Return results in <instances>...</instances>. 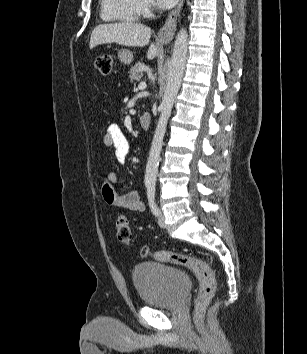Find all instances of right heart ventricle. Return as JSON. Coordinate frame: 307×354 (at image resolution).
Wrapping results in <instances>:
<instances>
[{"label":"right heart ventricle","mask_w":307,"mask_h":354,"mask_svg":"<svg viewBox=\"0 0 307 354\" xmlns=\"http://www.w3.org/2000/svg\"><path fill=\"white\" fill-rule=\"evenodd\" d=\"M101 17L105 21L135 22L141 13L136 0H100Z\"/></svg>","instance_id":"e07e8e85"}]
</instances>
